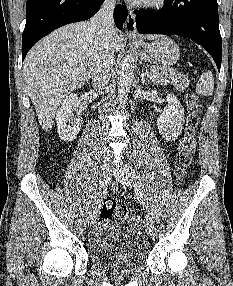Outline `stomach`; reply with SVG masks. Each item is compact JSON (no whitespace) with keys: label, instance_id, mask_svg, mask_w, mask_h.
Segmentation results:
<instances>
[{"label":"stomach","instance_id":"0dacf381","mask_svg":"<svg viewBox=\"0 0 233 286\" xmlns=\"http://www.w3.org/2000/svg\"><path fill=\"white\" fill-rule=\"evenodd\" d=\"M140 55L143 60L162 67L174 65L180 57L178 45L167 36H159L150 44L142 43Z\"/></svg>","mask_w":233,"mask_h":286}]
</instances>
